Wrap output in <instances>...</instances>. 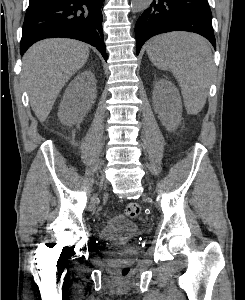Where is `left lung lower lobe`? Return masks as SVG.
Wrapping results in <instances>:
<instances>
[{
    "mask_svg": "<svg viewBox=\"0 0 245 300\" xmlns=\"http://www.w3.org/2000/svg\"><path fill=\"white\" fill-rule=\"evenodd\" d=\"M211 19L207 0H154L136 22V53L152 36L178 30L198 33L216 47Z\"/></svg>",
    "mask_w": 245,
    "mask_h": 300,
    "instance_id": "left-lung-lower-lobe-1",
    "label": "left lung lower lobe"
}]
</instances>
